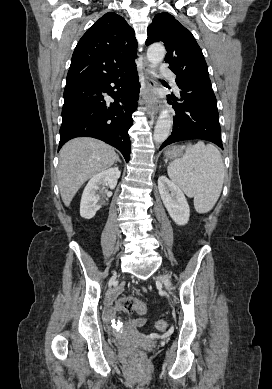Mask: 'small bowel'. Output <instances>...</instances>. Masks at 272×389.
<instances>
[{"label": "small bowel", "instance_id": "1", "mask_svg": "<svg viewBox=\"0 0 272 389\" xmlns=\"http://www.w3.org/2000/svg\"><path fill=\"white\" fill-rule=\"evenodd\" d=\"M117 293H118V291L114 292L113 295L109 298V300H108V305L111 304V302L113 301V299H114V297H115V295H116ZM108 313H109L110 315L113 313V309H112L110 306H109V308H108ZM143 322H144L143 319H139V320L135 321V324H142Z\"/></svg>", "mask_w": 272, "mask_h": 389}]
</instances>
